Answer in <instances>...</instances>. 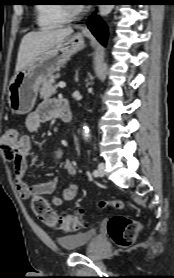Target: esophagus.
<instances>
[{
  "instance_id": "1",
  "label": "esophagus",
  "mask_w": 174,
  "mask_h": 278,
  "mask_svg": "<svg viewBox=\"0 0 174 278\" xmlns=\"http://www.w3.org/2000/svg\"><path fill=\"white\" fill-rule=\"evenodd\" d=\"M86 33V30L84 29V30H82L80 33H78L79 35H83V34H85Z\"/></svg>"
}]
</instances>
